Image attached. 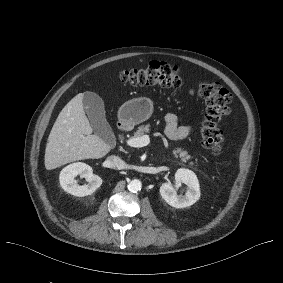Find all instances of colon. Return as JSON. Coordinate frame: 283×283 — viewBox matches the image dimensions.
<instances>
[{"mask_svg": "<svg viewBox=\"0 0 283 283\" xmlns=\"http://www.w3.org/2000/svg\"><path fill=\"white\" fill-rule=\"evenodd\" d=\"M119 80L134 86L180 87L182 80L178 69L164 62L152 61L147 66L122 71ZM199 93L205 101L206 111L200 134L205 148L218 156L222 153L226 139L220 125L228 115L231 101L230 92L219 82H204Z\"/></svg>", "mask_w": 283, "mask_h": 283, "instance_id": "1", "label": "colon"}]
</instances>
